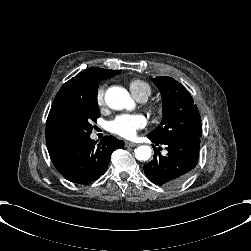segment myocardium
Wrapping results in <instances>:
<instances>
[{"label":"myocardium","mask_w":251,"mask_h":251,"mask_svg":"<svg viewBox=\"0 0 251 251\" xmlns=\"http://www.w3.org/2000/svg\"><path fill=\"white\" fill-rule=\"evenodd\" d=\"M145 101H146V100H145ZM149 109H150L151 111H159V110H160V107H159L158 105L154 104V103H151V104H149Z\"/></svg>","instance_id":"myocardium-1"}]
</instances>
